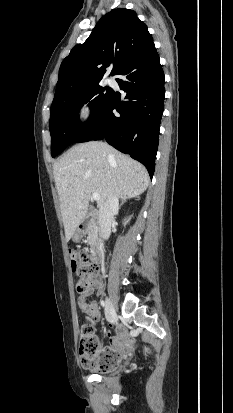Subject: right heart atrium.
<instances>
[{"instance_id": "obj_1", "label": "right heart atrium", "mask_w": 233, "mask_h": 413, "mask_svg": "<svg viewBox=\"0 0 233 413\" xmlns=\"http://www.w3.org/2000/svg\"><path fill=\"white\" fill-rule=\"evenodd\" d=\"M95 114L93 103L90 100L82 101L77 107V119L83 124L90 123Z\"/></svg>"}]
</instances>
